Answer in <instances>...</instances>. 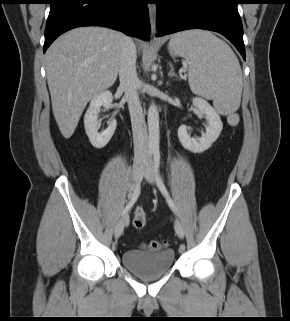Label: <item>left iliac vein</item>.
<instances>
[{"mask_svg":"<svg viewBox=\"0 0 290 321\" xmlns=\"http://www.w3.org/2000/svg\"><path fill=\"white\" fill-rule=\"evenodd\" d=\"M144 177H145L146 181L149 182L150 184H155L156 174L154 172V168H153L151 160H148L145 165ZM174 229H175V232L178 235V237H180V238L184 237V229H183L181 222L178 219H175V221H174Z\"/></svg>","mask_w":290,"mask_h":321,"instance_id":"1","label":"left iliac vein"}]
</instances>
